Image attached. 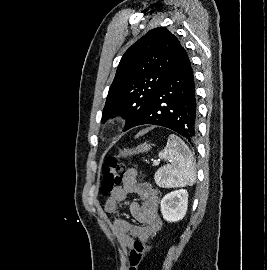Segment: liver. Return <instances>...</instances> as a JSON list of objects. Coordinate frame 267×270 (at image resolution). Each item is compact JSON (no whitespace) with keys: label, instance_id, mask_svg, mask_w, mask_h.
Segmentation results:
<instances>
[{"label":"liver","instance_id":"obj_1","mask_svg":"<svg viewBox=\"0 0 267 270\" xmlns=\"http://www.w3.org/2000/svg\"><path fill=\"white\" fill-rule=\"evenodd\" d=\"M142 133H143V132H142ZM142 133H139L138 136L141 135Z\"/></svg>","mask_w":267,"mask_h":270}]
</instances>
